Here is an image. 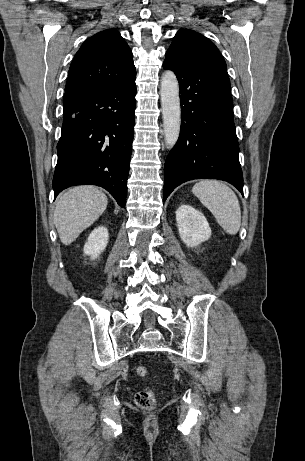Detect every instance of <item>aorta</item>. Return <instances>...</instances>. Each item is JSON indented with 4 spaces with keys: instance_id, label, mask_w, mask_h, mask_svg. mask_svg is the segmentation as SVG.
Here are the masks:
<instances>
[{
    "instance_id": "762f6f07",
    "label": "aorta",
    "mask_w": 305,
    "mask_h": 461,
    "mask_svg": "<svg viewBox=\"0 0 305 461\" xmlns=\"http://www.w3.org/2000/svg\"><path fill=\"white\" fill-rule=\"evenodd\" d=\"M161 105L165 144L173 148L179 138L181 125V108L179 85L173 71H166L161 80Z\"/></svg>"
}]
</instances>
